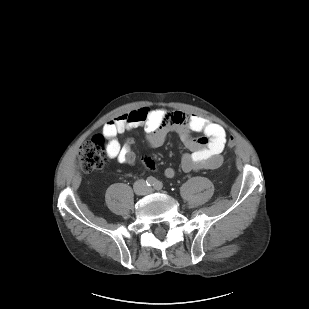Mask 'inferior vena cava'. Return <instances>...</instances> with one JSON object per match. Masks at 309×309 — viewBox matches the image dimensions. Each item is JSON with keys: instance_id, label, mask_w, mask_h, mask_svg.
<instances>
[{"instance_id": "1", "label": "inferior vena cava", "mask_w": 309, "mask_h": 309, "mask_svg": "<svg viewBox=\"0 0 309 309\" xmlns=\"http://www.w3.org/2000/svg\"><path fill=\"white\" fill-rule=\"evenodd\" d=\"M135 191L139 194H147L149 192V187H147L146 182L144 180H138L134 183Z\"/></svg>"}]
</instances>
